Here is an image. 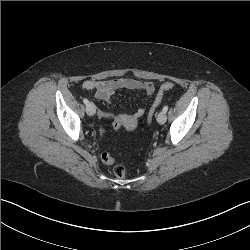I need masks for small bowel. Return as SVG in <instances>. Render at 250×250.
Listing matches in <instances>:
<instances>
[{
	"instance_id": "c3829d8e",
	"label": "small bowel",
	"mask_w": 250,
	"mask_h": 250,
	"mask_svg": "<svg viewBox=\"0 0 250 250\" xmlns=\"http://www.w3.org/2000/svg\"><path fill=\"white\" fill-rule=\"evenodd\" d=\"M82 88L87 91H93L95 97L106 103L110 101L111 96L121 89L141 91L146 96H152L155 92V85L150 81H141L134 78L122 77L111 80H86L82 83ZM123 115V114H121ZM144 115L143 109L136 110L131 116L126 115V120H121V123L133 122ZM120 116V115H118ZM99 117H110L107 112H99Z\"/></svg>"
}]
</instances>
